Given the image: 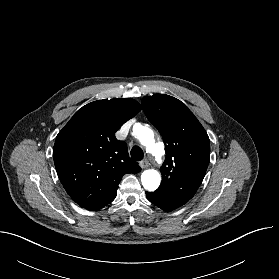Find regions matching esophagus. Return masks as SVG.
Here are the masks:
<instances>
[{"instance_id": "obj_1", "label": "esophagus", "mask_w": 279, "mask_h": 279, "mask_svg": "<svg viewBox=\"0 0 279 279\" xmlns=\"http://www.w3.org/2000/svg\"><path fill=\"white\" fill-rule=\"evenodd\" d=\"M149 165H150V161H149L148 158H145V159H143V160L140 162V166H141V168H143V169L148 168Z\"/></svg>"}]
</instances>
